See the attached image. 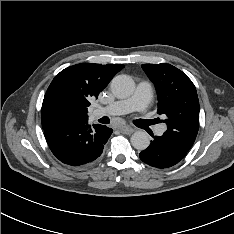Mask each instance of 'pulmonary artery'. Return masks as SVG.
I'll return each mask as SVG.
<instances>
[{"instance_id":"e3ab8cb5","label":"pulmonary artery","mask_w":234,"mask_h":234,"mask_svg":"<svg viewBox=\"0 0 234 234\" xmlns=\"http://www.w3.org/2000/svg\"><path fill=\"white\" fill-rule=\"evenodd\" d=\"M152 89L149 82L142 81L138 84L135 93L123 100H118L106 107H100L97 114L120 115L138 110L141 114H145L151 99ZM165 131L164 126L157 128V134L161 135Z\"/></svg>"}]
</instances>
